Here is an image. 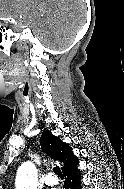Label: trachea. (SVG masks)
<instances>
[{"mask_svg": "<svg viewBox=\"0 0 124 189\" xmlns=\"http://www.w3.org/2000/svg\"><path fill=\"white\" fill-rule=\"evenodd\" d=\"M53 171H54V173H55L56 175H58L59 177H63V173H62L61 169L59 168V166H55V167L53 168Z\"/></svg>", "mask_w": 124, "mask_h": 189, "instance_id": "3493384b", "label": "trachea"}]
</instances>
